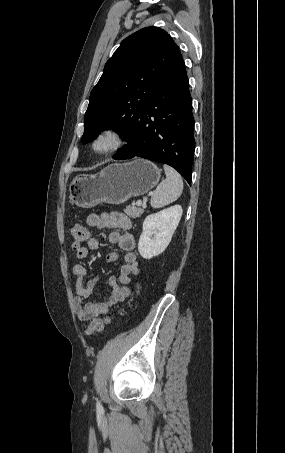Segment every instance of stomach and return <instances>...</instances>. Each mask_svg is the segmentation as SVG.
<instances>
[{"label": "stomach", "mask_w": 285, "mask_h": 453, "mask_svg": "<svg viewBox=\"0 0 285 453\" xmlns=\"http://www.w3.org/2000/svg\"><path fill=\"white\" fill-rule=\"evenodd\" d=\"M160 175L157 165L144 159L110 164L97 174L77 175L70 184L71 199L83 208L100 203L123 204L149 192L158 184Z\"/></svg>", "instance_id": "1"}]
</instances>
